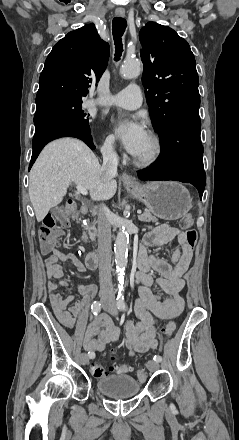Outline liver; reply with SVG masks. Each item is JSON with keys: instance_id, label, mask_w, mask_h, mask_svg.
I'll return each mask as SVG.
<instances>
[{"instance_id": "liver-1", "label": "liver", "mask_w": 239, "mask_h": 440, "mask_svg": "<svg viewBox=\"0 0 239 440\" xmlns=\"http://www.w3.org/2000/svg\"><path fill=\"white\" fill-rule=\"evenodd\" d=\"M95 154L76 138H60L45 146L29 174V196L37 222L58 206L70 184L89 190L91 200H110L116 180H103Z\"/></svg>"}]
</instances>
